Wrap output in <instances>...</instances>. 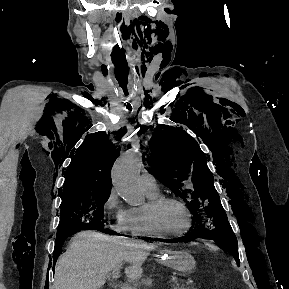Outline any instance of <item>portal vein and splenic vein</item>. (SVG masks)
Instances as JSON below:
<instances>
[{"label":"portal vein and splenic vein","instance_id":"obj_1","mask_svg":"<svg viewBox=\"0 0 289 289\" xmlns=\"http://www.w3.org/2000/svg\"><path fill=\"white\" fill-rule=\"evenodd\" d=\"M118 273H119V266H117L116 268H114V270L112 271V276H113V278H117ZM121 289H133V287H130V286H122Z\"/></svg>","mask_w":289,"mask_h":289}]
</instances>
